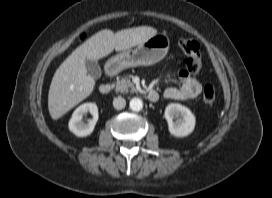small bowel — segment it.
I'll use <instances>...</instances> for the list:
<instances>
[{
	"label": "small bowel",
	"mask_w": 272,
	"mask_h": 198,
	"mask_svg": "<svg viewBox=\"0 0 272 198\" xmlns=\"http://www.w3.org/2000/svg\"><path fill=\"white\" fill-rule=\"evenodd\" d=\"M180 85L178 87L167 88L163 96L171 100H191L196 98L202 90V84L199 80L191 77L185 70L179 72Z\"/></svg>",
	"instance_id": "1"
}]
</instances>
